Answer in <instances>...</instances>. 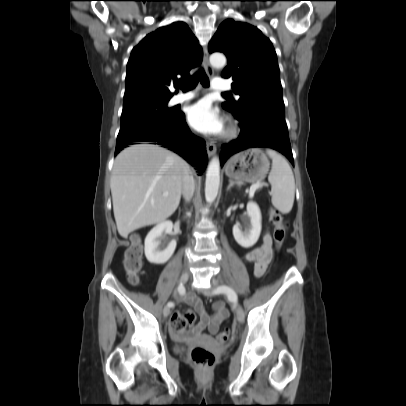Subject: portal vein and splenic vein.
Listing matches in <instances>:
<instances>
[{"label": "portal vein and splenic vein", "mask_w": 406, "mask_h": 406, "mask_svg": "<svg viewBox=\"0 0 406 406\" xmlns=\"http://www.w3.org/2000/svg\"><path fill=\"white\" fill-rule=\"evenodd\" d=\"M262 186H267V184L262 183V182L254 183V184L250 187L249 196H250V197H253L255 191H256L257 189H259L260 187H262ZM163 195H164V196H168V193L165 192V193H163Z\"/></svg>", "instance_id": "18ae733b"}]
</instances>
